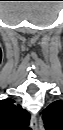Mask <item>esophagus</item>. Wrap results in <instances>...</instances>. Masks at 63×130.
Segmentation results:
<instances>
[{
  "mask_svg": "<svg viewBox=\"0 0 63 130\" xmlns=\"http://www.w3.org/2000/svg\"><path fill=\"white\" fill-rule=\"evenodd\" d=\"M31 127L33 130H38V123L35 115H32L31 117Z\"/></svg>",
  "mask_w": 63,
  "mask_h": 130,
  "instance_id": "esophagus-1",
  "label": "esophagus"
}]
</instances>
